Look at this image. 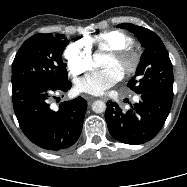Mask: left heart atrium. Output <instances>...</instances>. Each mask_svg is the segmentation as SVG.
I'll list each match as a JSON object with an SVG mask.
<instances>
[{"label": "left heart atrium", "mask_w": 187, "mask_h": 187, "mask_svg": "<svg viewBox=\"0 0 187 187\" xmlns=\"http://www.w3.org/2000/svg\"><path fill=\"white\" fill-rule=\"evenodd\" d=\"M122 74L113 67L92 70L75 81V89L80 93L102 95L114 86Z\"/></svg>", "instance_id": "left-heart-atrium-1"}]
</instances>
